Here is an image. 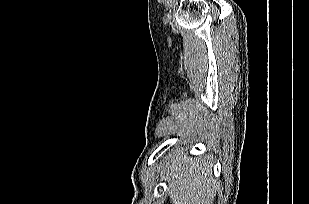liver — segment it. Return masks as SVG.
Returning a JSON list of instances; mask_svg holds the SVG:
<instances>
[{"mask_svg":"<svg viewBox=\"0 0 309 204\" xmlns=\"http://www.w3.org/2000/svg\"><path fill=\"white\" fill-rule=\"evenodd\" d=\"M173 204H213L217 185L208 158H190L183 150L166 158L162 167Z\"/></svg>","mask_w":309,"mask_h":204,"instance_id":"1","label":"liver"}]
</instances>
